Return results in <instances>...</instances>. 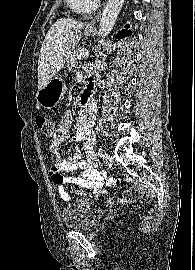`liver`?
<instances>
[{
	"label": "liver",
	"instance_id": "obj_1",
	"mask_svg": "<svg viewBox=\"0 0 195 270\" xmlns=\"http://www.w3.org/2000/svg\"><path fill=\"white\" fill-rule=\"evenodd\" d=\"M83 23L72 18L58 19L48 30L38 60V89L44 87L64 66L81 39Z\"/></svg>",
	"mask_w": 195,
	"mask_h": 270
}]
</instances>
